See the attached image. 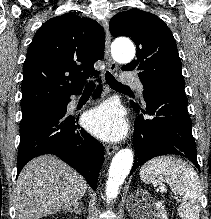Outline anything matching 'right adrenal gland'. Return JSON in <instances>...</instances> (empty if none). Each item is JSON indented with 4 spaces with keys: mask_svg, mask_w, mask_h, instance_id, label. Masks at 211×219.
<instances>
[{
    "mask_svg": "<svg viewBox=\"0 0 211 219\" xmlns=\"http://www.w3.org/2000/svg\"><path fill=\"white\" fill-rule=\"evenodd\" d=\"M66 212H74L75 214H80L81 213V209L79 208V202H76L75 204H74V207H73V209L72 208H70V209H68Z\"/></svg>",
    "mask_w": 211,
    "mask_h": 219,
    "instance_id": "1",
    "label": "right adrenal gland"
}]
</instances>
